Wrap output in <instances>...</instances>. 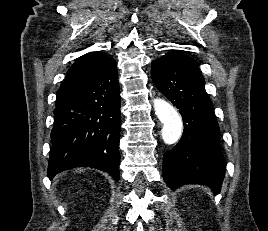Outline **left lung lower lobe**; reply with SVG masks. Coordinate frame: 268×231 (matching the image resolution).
Returning <instances> with one entry per match:
<instances>
[{
	"instance_id": "obj_1",
	"label": "left lung lower lobe",
	"mask_w": 268,
	"mask_h": 231,
	"mask_svg": "<svg viewBox=\"0 0 268 231\" xmlns=\"http://www.w3.org/2000/svg\"><path fill=\"white\" fill-rule=\"evenodd\" d=\"M152 80L183 118L181 140L163 157V178L171 189L186 184L209 186L218 194L226 162L220 149V129L201 73L161 57L152 62Z\"/></svg>"
}]
</instances>
